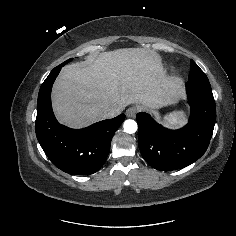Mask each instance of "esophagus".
<instances>
[{
  "instance_id": "1",
  "label": "esophagus",
  "mask_w": 236,
  "mask_h": 236,
  "mask_svg": "<svg viewBox=\"0 0 236 236\" xmlns=\"http://www.w3.org/2000/svg\"><path fill=\"white\" fill-rule=\"evenodd\" d=\"M137 111H138V109L136 107H130L126 110V116L128 118H133V117H135Z\"/></svg>"
}]
</instances>
